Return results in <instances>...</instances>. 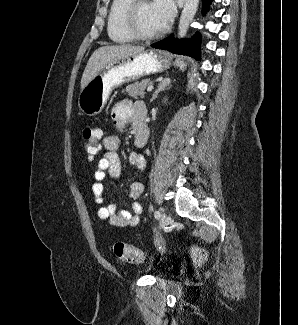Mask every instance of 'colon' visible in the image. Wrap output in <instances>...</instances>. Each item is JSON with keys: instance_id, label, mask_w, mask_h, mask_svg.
<instances>
[{"instance_id": "colon-1", "label": "colon", "mask_w": 298, "mask_h": 325, "mask_svg": "<svg viewBox=\"0 0 298 325\" xmlns=\"http://www.w3.org/2000/svg\"><path fill=\"white\" fill-rule=\"evenodd\" d=\"M102 131L96 127L87 126L83 130V145L85 153L88 159H93L101 149ZM115 256L123 262L131 264H139L145 260L143 253L136 247L123 243L117 242L113 247ZM192 256L195 261L202 262L206 257V253L199 247L192 248Z\"/></svg>"}]
</instances>
